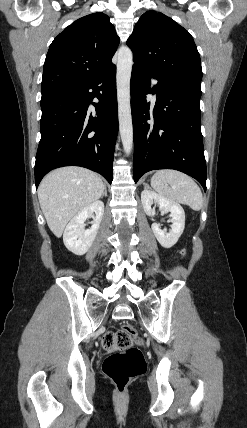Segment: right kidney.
<instances>
[{"instance_id":"right-kidney-1","label":"right kidney","mask_w":247,"mask_h":428,"mask_svg":"<svg viewBox=\"0 0 247 428\" xmlns=\"http://www.w3.org/2000/svg\"><path fill=\"white\" fill-rule=\"evenodd\" d=\"M103 214L104 203L98 200L75 215L66 226L63 234V242L66 248L76 255L85 254L97 235ZM90 217L93 218L92 226L85 230L84 222Z\"/></svg>"}]
</instances>
